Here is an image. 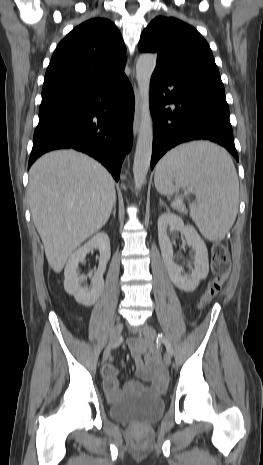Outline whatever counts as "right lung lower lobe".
Masks as SVG:
<instances>
[{"label":"right lung lower lobe","instance_id":"obj_1","mask_svg":"<svg viewBox=\"0 0 263 465\" xmlns=\"http://www.w3.org/2000/svg\"><path fill=\"white\" fill-rule=\"evenodd\" d=\"M134 107L126 76L42 99L28 168L48 151L73 148L100 161L118 181L132 146Z\"/></svg>","mask_w":263,"mask_h":465}]
</instances>
